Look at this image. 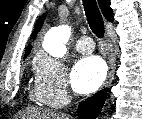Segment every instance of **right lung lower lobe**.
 <instances>
[{
    "label": "right lung lower lobe",
    "instance_id": "1",
    "mask_svg": "<svg viewBox=\"0 0 142 119\" xmlns=\"http://www.w3.org/2000/svg\"><path fill=\"white\" fill-rule=\"evenodd\" d=\"M106 98V90H101L90 99L82 101L78 107L79 119H95L101 112Z\"/></svg>",
    "mask_w": 142,
    "mask_h": 119
}]
</instances>
